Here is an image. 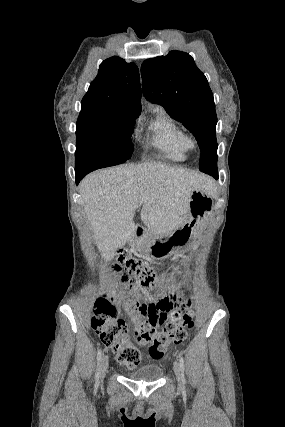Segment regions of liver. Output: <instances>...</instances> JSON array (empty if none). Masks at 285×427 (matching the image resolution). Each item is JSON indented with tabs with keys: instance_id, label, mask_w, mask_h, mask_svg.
Masks as SVG:
<instances>
[{
	"instance_id": "liver-1",
	"label": "liver",
	"mask_w": 285,
	"mask_h": 427,
	"mask_svg": "<svg viewBox=\"0 0 285 427\" xmlns=\"http://www.w3.org/2000/svg\"><path fill=\"white\" fill-rule=\"evenodd\" d=\"M84 211L106 259L134 235V214L154 234H170L187 220L194 190L215 192L213 180L199 172L150 162L98 170L80 183Z\"/></svg>"
}]
</instances>
